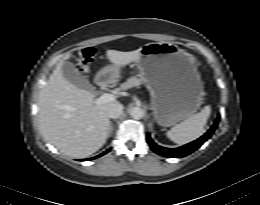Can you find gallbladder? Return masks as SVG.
Segmentation results:
<instances>
[{
    "instance_id": "1",
    "label": "gallbladder",
    "mask_w": 260,
    "mask_h": 205,
    "mask_svg": "<svg viewBox=\"0 0 260 205\" xmlns=\"http://www.w3.org/2000/svg\"><path fill=\"white\" fill-rule=\"evenodd\" d=\"M62 73L63 77L70 82L71 84L75 85L78 88L92 91L93 86L92 84L83 76L75 67V65L71 62H64L62 65Z\"/></svg>"
}]
</instances>
